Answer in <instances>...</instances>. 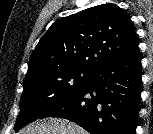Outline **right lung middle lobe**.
Listing matches in <instances>:
<instances>
[{
	"label": "right lung middle lobe",
	"instance_id": "1",
	"mask_svg": "<svg viewBox=\"0 0 153 134\" xmlns=\"http://www.w3.org/2000/svg\"><path fill=\"white\" fill-rule=\"evenodd\" d=\"M94 71L61 67L24 79L20 113L14 125L17 132L82 88Z\"/></svg>",
	"mask_w": 153,
	"mask_h": 134
}]
</instances>
